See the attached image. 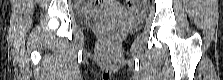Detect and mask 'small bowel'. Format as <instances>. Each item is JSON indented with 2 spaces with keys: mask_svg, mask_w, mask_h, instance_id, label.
Listing matches in <instances>:
<instances>
[{
  "mask_svg": "<svg viewBox=\"0 0 223 80\" xmlns=\"http://www.w3.org/2000/svg\"><path fill=\"white\" fill-rule=\"evenodd\" d=\"M115 6H117V4L115 2H113V1H106V2H102V3L94 2L87 9L99 10V9H101L103 7H105V8H109V7L113 8Z\"/></svg>",
  "mask_w": 223,
  "mask_h": 80,
  "instance_id": "1",
  "label": "small bowel"
}]
</instances>
